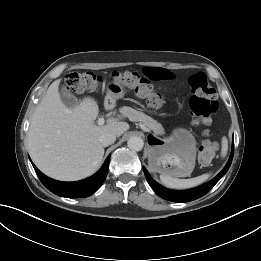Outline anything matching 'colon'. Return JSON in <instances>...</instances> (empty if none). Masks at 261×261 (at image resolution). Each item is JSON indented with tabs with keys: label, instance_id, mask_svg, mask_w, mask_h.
Wrapping results in <instances>:
<instances>
[{
	"label": "colon",
	"instance_id": "colon-1",
	"mask_svg": "<svg viewBox=\"0 0 261 261\" xmlns=\"http://www.w3.org/2000/svg\"><path fill=\"white\" fill-rule=\"evenodd\" d=\"M113 79L146 98L151 107L161 105V97L152 91L149 81L137 73L117 72L113 75ZM101 81V78L92 72L70 73L65 80L64 91L69 94L93 91L101 84ZM188 82L192 93L189 104L194 122L209 125L218 108L216 90L203 72L191 75ZM205 134L206 136L210 135L208 131ZM216 150V143L206 139L198 151L199 162L202 164L209 163L214 158Z\"/></svg>",
	"mask_w": 261,
	"mask_h": 261
}]
</instances>
